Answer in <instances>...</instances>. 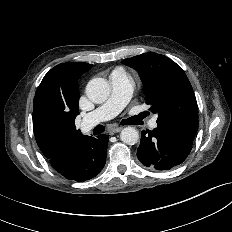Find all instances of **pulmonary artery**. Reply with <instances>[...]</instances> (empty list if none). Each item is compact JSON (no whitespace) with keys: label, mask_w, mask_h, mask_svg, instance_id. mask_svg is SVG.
Listing matches in <instances>:
<instances>
[{"label":"pulmonary artery","mask_w":232,"mask_h":232,"mask_svg":"<svg viewBox=\"0 0 232 232\" xmlns=\"http://www.w3.org/2000/svg\"><path fill=\"white\" fill-rule=\"evenodd\" d=\"M109 81L111 94L107 101L85 116L83 120V128L85 130H89L97 123L109 120L118 115L131 98V79L123 68L113 70L110 74ZM149 126L151 128L157 127L156 117L150 120Z\"/></svg>","instance_id":"obj_1"}]
</instances>
